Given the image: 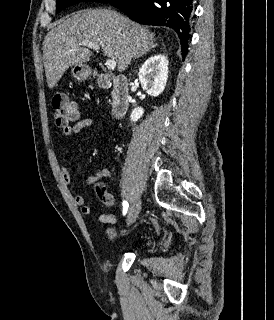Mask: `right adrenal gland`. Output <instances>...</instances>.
Segmentation results:
<instances>
[{"label": "right adrenal gland", "mask_w": 274, "mask_h": 320, "mask_svg": "<svg viewBox=\"0 0 274 320\" xmlns=\"http://www.w3.org/2000/svg\"><path fill=\"white\" fill-rule=\"evenodd\" d=\"M152 48H156V46H152ZM147 52L145 54H140V56H136V58H143V56H146Z\"/></svg>", "instance_id": "1"}]
</instances>
